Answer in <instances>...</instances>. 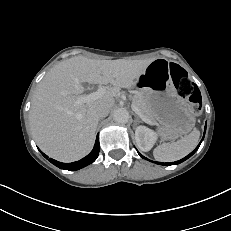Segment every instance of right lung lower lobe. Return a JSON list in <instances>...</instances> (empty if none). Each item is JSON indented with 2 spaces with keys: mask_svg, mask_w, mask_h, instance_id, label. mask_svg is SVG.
<instances>
[{
  "mask_svg": "<svg viewBox=\"0 0 231 231\" xmlns=\"http://www.w3.org/2000/svg\"><path fill=\"white\" fill-rule=\"evenodd\" d=\"M99 149H100V145H99V138L97 135L93 150L90 152V154H88L83 159L76 161V162H73V163H61V162H58L52 158H50L49 161L61 169L75 171V170L81 169V168L93 163L98 157ZM41 153L46 159H48L47 155H45L43 152H41Z\"/></svg>",
  "mask_w": 231,
  "mask_h": 231,
  "instance_id": "obj_1",
  "label": "right lung lower lobe"
}]
</instances>
